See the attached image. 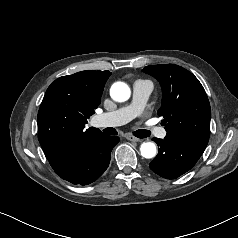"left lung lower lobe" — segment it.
Returning <instances> with one entry per match:
<instances>
[{"label":"left lung lower lobe","mask_w":238,"mask_h":238,"mask_svg":"<svg viewBox=\"0 0 238 238\" xmlns=\"http://www.w3.org/2000/svg\"><path fill=\"white\" fill-rule=\"evenodd\" d=\"M160 147L158 155L149 164L150 169L166 179H176L189 171L198 161L207 145L174 135L153 138Z\"/></svg>","instance_id":"obj_1"}]
</instances>
